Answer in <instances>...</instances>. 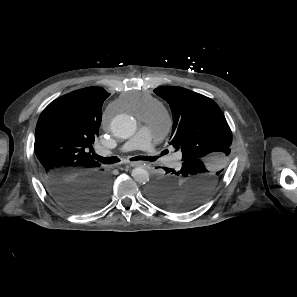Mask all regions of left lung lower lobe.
<instances>
[{"mask_svg":"<svg viewBox=\"0 0 297 297\" xmlns=\"http://www.w3.org/2000/svg\"><path fill=\"white\" fill-rule=\"evenodd\" d=\"M164 170L166 171V174H169V175H171L172 173H173V175H174V173H176V174L178 173V171H175L174 169L164 168ZM159 180H164V177L160 178Z\"/></svg>","mask_w":297,"mask_h":297,"instance_id":"left-lung-lower-lobe-1","label":"left lung lower lobe"}]
</instances>
